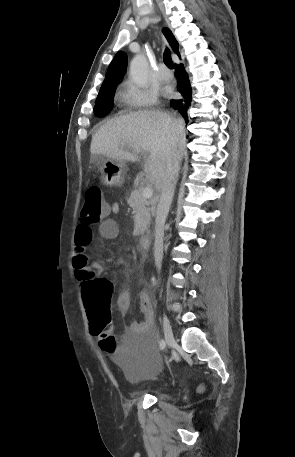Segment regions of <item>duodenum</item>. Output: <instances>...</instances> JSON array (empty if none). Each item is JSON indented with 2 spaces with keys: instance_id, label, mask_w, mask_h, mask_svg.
<instances>
[{
  "instance_id": "obj_1",
  "label": "duodenum",
  "mask_w": 295,
  "mask_h": 457,
  "mask_svg": "<svg viewBox=\"0 0 295 457\" xmlns=\"http://www.w3.org/2000/svg\"><path fill=\"white\" fill-rule=\"evenodd\" d=\"M151 244V237L150 236H143L140 239V248L143 254H146L149 250Z\"/></svg>"
}]
</instances>
